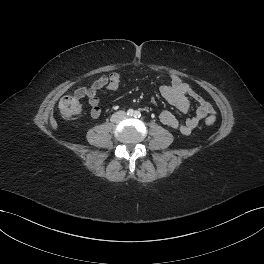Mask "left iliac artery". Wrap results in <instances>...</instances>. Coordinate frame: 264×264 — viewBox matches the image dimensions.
Instances as JSON below:
<instances>
[{
    "mask_svg": "<svg viewBox=\"0 0 264 264\" xmlns=\"http://www.w3.org/2000/svg\"><path fill=\"white\" fill-rule=\"evenodd\" d=\"M134 116L136 118H139L141 116V113L139 111H135Z\"/></svg>",
    "mask_w": 264,
    "mask_h": 264,
    "instance_id": "1",
    "label": "left iliac artery"
}]
</instances>
